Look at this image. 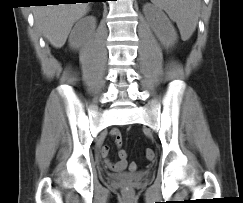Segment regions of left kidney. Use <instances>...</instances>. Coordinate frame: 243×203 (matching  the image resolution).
<instances>
[{"mask_svg": "<svg viewBox=\"0 0 243 203\" xmlns=\"http://www.w3.org/2000/svg\"><path fill=\"white\" fill-rule=\"evenodd\" d=\"M145 17L156 37L164 47H171L177 41V33L168 17L159 9L147 4L143 8Z\"/></svg>", "mask_w": 243, "mask_h": 203, "instance_id": "5707ae66", "label": "left kidney"}]
</instances>
